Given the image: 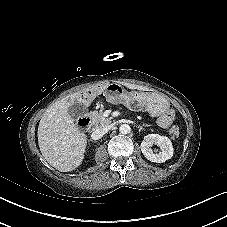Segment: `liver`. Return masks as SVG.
I'll return each instance as SVG.
<instances>
[{
  "instance_id": "liver-1",
  "label": "liver",
  "mask_w": 227,
  "mask_h": 227,
  "mask_svg": "<svg viewBox=\"0 0 227 227\" xmlns=\"http://www.w3.org/2000/svg\"><path fill=\"white\" fill-rule=\"evenodd\" d=\"M130 89H140L128 86ZM71 94L48 108L37 131L40 152L46 161L61 172H70L81 165L87 146V136L79 130L69 114V108L81 98Z\"/></svg>"
}]
</instances>
